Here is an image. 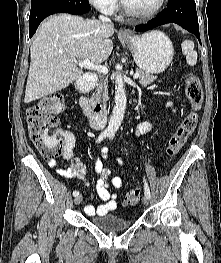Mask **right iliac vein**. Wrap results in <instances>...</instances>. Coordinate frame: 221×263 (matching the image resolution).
<instances>
[{"instance_id": "obj_1", "label": "right iliac vein", "mask_w": 221, "mask_h": 263, "mask_svg": "<svg viewBox=\"0 0 221 263\" xmlns=\"http://www.w3.org/2000/svg\"><path fill=\"white\" fill-rule=\"evenodd\" d=\"M81 202H82V195L76 196L75 199H74L75 205H78V204H80Z\"/></svg>"}]
</instances>
